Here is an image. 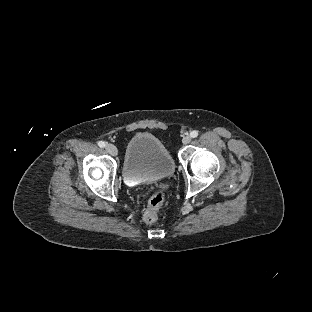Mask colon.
I'll list each match as a JSON object with an SVG mask.
<instances>
[{
  "label": "colon",
  "instance_id": "5ec220e1",
  "mask_svg": "<svg viewBox=\"0 0 312 312\" xmlns=\"http://www.w3.org/2000/svg\"><path fill=\"white\" fill-rule=\"evenodd\" d=\"M165 201V194L162 191H155L148 201L143 214V219L147 224H154L158 221V208Z\"/></svg>",
  "mask_w": 312,
  "mask_h": 312
}]
</instances>
